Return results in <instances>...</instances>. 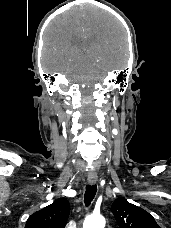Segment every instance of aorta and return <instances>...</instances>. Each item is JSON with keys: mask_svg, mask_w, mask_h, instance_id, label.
I'll return each mask as SVG.
<instances>
[{"mask_svg": "<svg viewBox=\"0 0 171 228\" xmlns=\"http://www.w3.org/2000/svg\"><path fill=\"white\" fill-rule=\"evenodd\" d=\"M105 219L101 215H91L84 221L83 228H104Z\"/></svg>", "mask_w": 171, "mask_h": 228, "instance_id": "aorta-1", "label": "aorta"}]
</instances>
